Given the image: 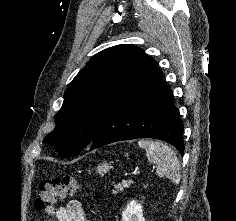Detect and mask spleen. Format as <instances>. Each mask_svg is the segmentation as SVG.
<instances>
[{"label":"spleen","mask_w":236,"mask_h":221,"mask_svg":"<svg viewBox=\"0 0 236 221\" xmlns=\"http://www.w3.org/2000/svg\"><path fill=\"white\" fill-rule=\"evenodd\" d=\"M138 146L145 149L149 162L156 164V174L159 177L179 183L180 162L172 148L162 142L145 139L139 140Z\"/></svg>","instance_id":"1"}]
</instances>
